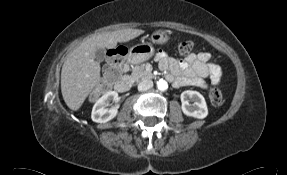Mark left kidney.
Masks as SVG:
<instances>
[{
	"label": "left kidney",
	"mask_w": 287,
	"mask_h": 175,
	"mask_svg": "<svg viewBox=\"0 0 287 175\" xmlns=\"http://www.w3.org/2000/svg\"><path fill=\"white\" fill-rule=\"evenodd\" d=\"M182 111L185 115L203 119L208 115L204 97L197 91L187 90L181 94Z\"/></svg>",
	"instance_id": "1"
}]
</instances>
